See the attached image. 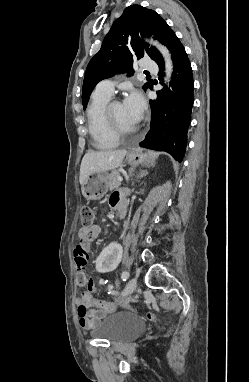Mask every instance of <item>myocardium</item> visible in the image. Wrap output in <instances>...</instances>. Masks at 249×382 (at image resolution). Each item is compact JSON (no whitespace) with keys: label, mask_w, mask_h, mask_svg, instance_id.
Listing matches in <instances>:
<instances>
[{"label":"myocardium","mask_w":249,"mask_h":382,"mask_svg":"<svg viewBox=\"0 0 249 382\" xmlns=\"http://www.w3.org/2000/svg\"><path fill=\"white\" fill-rule=\"evenodd\" d=\"M116 103L120 102L116 100L110 101L104 109V118L109 131L113 136H115L118 139L135 134L138 131V127H136L133 130H125L116 123L112 114V107Z\"/></svg>","instance_id":"1"}]
</instances>
